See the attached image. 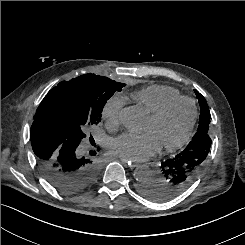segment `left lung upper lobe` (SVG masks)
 <instances>
[{
	"mask_svg": "<svg viewBox=\"0 0 245 245\" xmlns=\"http://www.w3.org/2000/svg\"><path fill=\"white\" fill-rule=\"evenodd\" d=\"M194 92L198 98L201 109L198 129L193 137L196 138L202 135H208L211 115L205 98L197 90H194Z\"/></svg>",
	"mask_w": 245,
	"mask_h": 245,
	"instance_id": "5c2ea615",
	"label": "left lung upper lobe"
}]
</instances>
